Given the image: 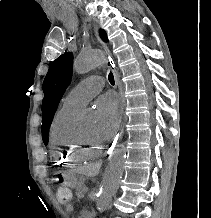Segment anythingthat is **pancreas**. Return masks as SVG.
I'll return each mask as SVG.
<instances>
[{"label":"pancreas","instance_id":"1","mask_svg":"<svg viewBox=\"0 0 211 218\" xmlns=\"http://www.w3.org/2000/svg\"><path fill=\"white\" fill-rule=\"evenodd\" d=\"M83 187H86V186H78L77 188L76 196H79V198H84L83 194L86 193V192H83Z\"/></svg>","mask_w":211,"mask_h":218}]
</instances>
